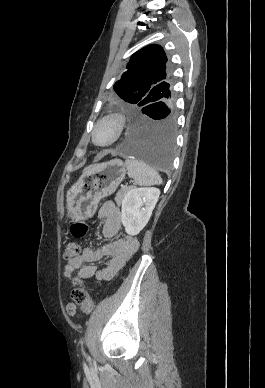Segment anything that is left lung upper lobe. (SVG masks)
Returning a JSON list of instances; mask_svg holds the SVG:
<instances>
[{
    "mask_svg": "<svg viewBox=\"0 0 265 388\" xmlns=\"http://www.w3.org/2000/svg\"><path fill=\"white\" fill-rule=\"evenodd\" d=\"M166 62L164 50L155 44L147 45L132 55L127 71L113 86L118 96L127 102L126 108L137 110L157 102L168 104L174 100Z\"/></svg>",
    "mask_w": 265,
    "mask_h": 388,
    "instance_id": "5c2ea615",
    "label": "left lung upper lobe"
}]
</instances>
